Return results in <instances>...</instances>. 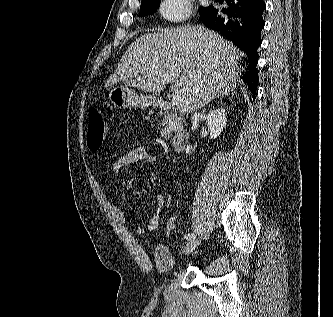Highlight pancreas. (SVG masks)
<instances>
[{
    "mask_svg": "<svg viewBox=\"0 0 333 317\" xmlns=\"http://www.w3.org/2000/svg\"><path fill=\"white\" fill-rule=\"evenodd\" d=\"M169 119L171 120V125L162 128V130L160 131L161 135L166 139L169 138V136L171 135V128L173 127V124L178 121V118L174 114H171Z\"/></svg>",
    "mask_w": 333,
    "mask_h": 317,
    "instance_id": "cf45deb5",
    "label": "pancreas"
}]
</instances>
